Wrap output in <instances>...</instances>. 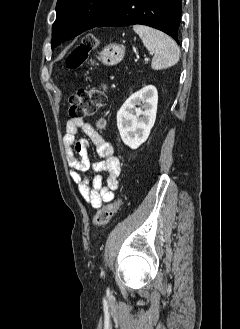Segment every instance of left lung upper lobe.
I'll use <instances>...</instances> for the list:
<instances>
[{
	"label": "left lung upper lobe",
	"instance_id": "1",
	"mask_svg": "<svg viewBox=\"0 0 240 329\" xmlns=\"http://www.w3.org/2000/svg\"><path fill=\"white\" fill-rule=\"evenodd\" d=\"M120 0H58L52 26V49L95 27Z\"/></svg>",
	"mask_w": 240,
	"mask_h": 329
}]
</instances>
